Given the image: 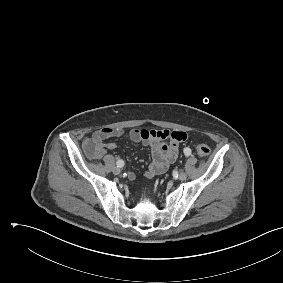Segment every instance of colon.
<instances>
[{
	"label": "colon",
	"instance_id": "colon-1",
	"mask_svg": "<svg viewBox=\"0 0 283 283\" xmlns=\"http://www.w3.org/2000/svg\"><path fill=\"white\" fill-rule=\"evenodd\" d=\"M84 147L91 158H98L102 154L101 144L93 138L86 139ZM195 150L200 157H207L210 154V148L206 144H196Z\"/></svg>",
	"mask_w": 283,
	"mask_h": 283
}]
</instances>
